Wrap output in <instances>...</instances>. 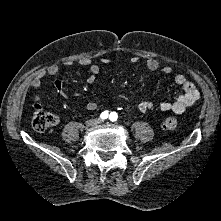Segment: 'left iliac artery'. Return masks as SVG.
I'll return each instance as SVG.
<instances>
[{"instance_id":"44dca946","label":"left iliac artery","mask_w":221,"mask_h":221,"mask_svg":"<svg viewBox=\"0 0 221 221\" xmlns=\"http://www.w3.org/2000/svg\"><path fill=\"white\" fill-rule=\"evenodd\" d=\"M118 115L115 112H111L109 115V119L113 122L117 121Z\"/></svg>"}]
</instances>
